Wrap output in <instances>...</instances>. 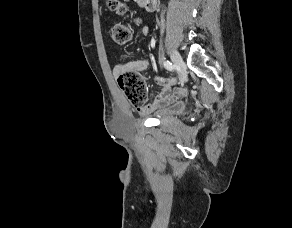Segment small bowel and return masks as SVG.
Instances as JSON below:
<instances>
[{
    "mask_svg": "<svg viewBox=\"0 0 292 228\" xmlns=\"http://www.w3.org/2000/svg\"><path fill=\"white\" fill-rule=\"evenodd\" d=\"M143 33L149 35L150 29L148 26L143 28ZM147 60H132L119 63L113 67V74L119 76L120 74L133 70L136 72H143L148 68ZM176 78H165L162 76H154V82L160 85L161 91L155 97L152 103L146 104L138 109L140 114L146 115L154 113L158 110L164 109L169 105L175 103L178 99L185 96L188 92L186 87H179L172 90V86L176 83Z\"/></svg>",
    "mask_w": 292,
    "mask_h": 228,
    "instance_id": "obj_1",
    "label": "small bowel"
}]
</instances>
